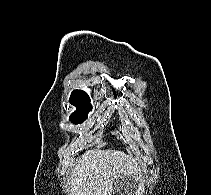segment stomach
I'll list each match as a JSON object with an SVG mask.
<instances>
[{"label": "stomach", "mask_w": 211, "mask_h": 195, "mask_svg": "<svg viewBox=\"0 0 211 195\" xmlns=\"http://www.w3.org/2000/svg\"><path fill=\"white\" fill-rule=\"evenodd\" d=\"M123 185H134L130 177H122L116 181L115 189H120ZM120 195H127V191H119Z\"/></svg>", "instance_id": "0dacf381"}]
</instances>
